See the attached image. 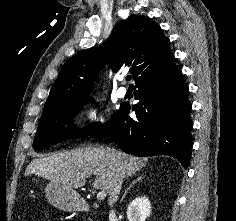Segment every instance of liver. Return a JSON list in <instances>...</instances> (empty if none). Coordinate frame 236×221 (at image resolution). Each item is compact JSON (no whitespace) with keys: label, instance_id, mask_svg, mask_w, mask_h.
<instances>
[{"label":"liver","instance_id":"obj_1","mask_svg":"<svg viewBox=\"0 0 236 221\" xmlns=\"http://www.w3.org/2000/svg\"><path fill=\"white\" fill-rule=\"evenodd\" d=\"M119 153L121 159L116 162L108 149L102 147L59 152L33 159L27 166L25 175L35 174L70 190L81 188L88 177L95 175L93 188L109 193L118 168L124 172V176H132L145 166L143 158Z\"/></svg>","mask_w":236,"mask_h":221}]
</instances>
